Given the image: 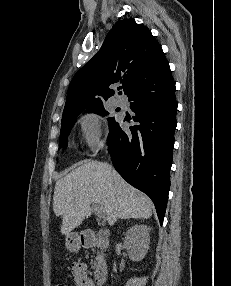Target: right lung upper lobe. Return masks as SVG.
<instances>
[{
	"instance_id": "right-lung-upper-lobe-1",
	"label": "right lung upper lobe",
	"mask_w": 231,
	"mask_h": 286,
	"mask_svg": "<svg viewBox=\"0 0 231 286\" xmlns=\"http://www.w3.org/2000/svg\"><path fill=\"white\" fill-rule=\"evenodd\" d=\"M170 72L161 46L143 25L134 19L118 21L107 34L99 52L73 77L63 116L102 104L114 94L109 85L120 81L123 92L140 80Z\"/></svg>"
}]
</instances>
